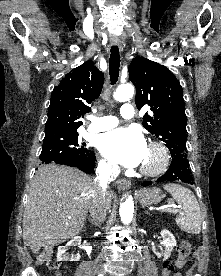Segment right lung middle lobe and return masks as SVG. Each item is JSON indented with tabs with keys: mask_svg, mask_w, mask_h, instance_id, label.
I'll list each match as a JSON object with an SVG mask.
<instances>
[{
	"mask_svg": "<svg viewBox=\"0 0 221 276\" xmlns=\"http://www.w3.org/2000/svg\"><path fill=\"white\" fill-rule=\"evenodd\" d=\"M78 133L45 134L40 160L45 163L66 159H88L94 156V151L84 148L77 141Z\"/></svg>",
	"mask_w": 221,
	"mask_h": 276,
	"instance_id": "1",
	"label": "right lung middle lobe"
}]
</instances>
